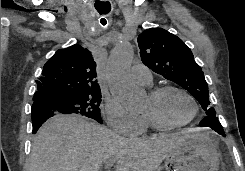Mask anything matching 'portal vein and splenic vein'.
Returning a JSON list of instances; mask_svg holds the SVG:
<instances>
[{"mask_svg":"<svg viewBox=\"0 0 245 171\" xmlns=\"http://www.w3.org/2000/svg\"><path fill=\"white\" fill-rule=\"evenodd\" d=\"M114 163H115V160H107L105 162V166H106L107 169H110L113 166Z\"/></svg>","mask_w":245,"mask_h":171,"instance_id":"1","label":"portal vein and splenic vein"}]
</instances>
